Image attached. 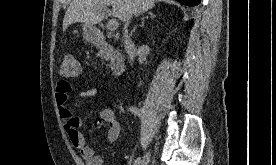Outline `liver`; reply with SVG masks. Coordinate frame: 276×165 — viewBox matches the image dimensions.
<instances>
[{
  "label": "liver",
  "mask_w": 276,
  "mask_h": 165,
  "mask_svg": "<svg viewBox=\"0 0 276 165\" xmlns=\"http://www.w3.org/2000/svg\"><path fill=\"white\" fill-rule=\"evenodd\" d=\"M127 5L131 9V18L132 15L138 16L152 9L155 6V0H73L65 13L63 30L77 22L89 26L100 23L104 19L108 6H112L113 16L124 21Z\"/></svg>",
  "instance_id": "liver-1"
}]
</instances>
